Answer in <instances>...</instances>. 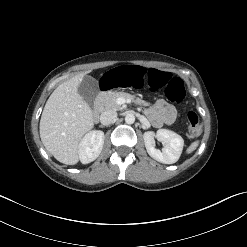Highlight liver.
<instances>
[{
	"label": "liver",
	"instance_id": "obj_1",
	"mask_svg": "<svg viewBox=\"0 0 247 247\" xmlns=\"http://www.w3.org/2000/svg\"><path fill=\"white\" fill-rule=\"evenodd\" d=\"M88 72L60 84L48 98L40 120V137L59 162L75 165L84 136L94 127L93 112L78 93Z\"/></svg>",
	"mask_w": 247,
	"mask_h": 247
}]
</instances>
